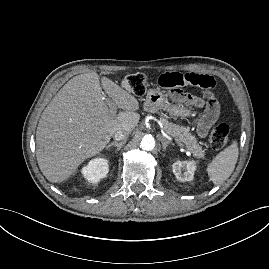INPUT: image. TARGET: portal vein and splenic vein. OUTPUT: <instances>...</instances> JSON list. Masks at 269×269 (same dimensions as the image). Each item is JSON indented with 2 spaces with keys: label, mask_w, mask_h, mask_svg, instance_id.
Here are the masks:
<instances>
[{
  "label": "portal vein and splenic vein",
  "mask_w": 269,
  "mask_h": 269,
  "mask_svg": "<svg viewBox=\"0 0 269 269\" xmlns=\"http://www.w3.org/2000/svg\"><path fill=\"white\" fill-rule=\"evenodd\" d=\"M106 101H107V103H108V105H109V107H110V109H111V112H112V113H116V106H115V104H114L112 101L108 100V99H106ZM165 137H166L167 139H171L170 136H168L167 134H165ZM175 142H176L179 146H181V147L183 146V144L181 143L180 140L175 139Z\"/></svg>",
  "instance_id": "portal-vein-and-splenic-vein-1"
}]
</instances>
